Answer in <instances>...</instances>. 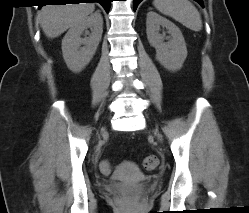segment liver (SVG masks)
Returning <instances> with one entry per match:
<instances>
[{
  "label": "liver",
  "instance_id": "1",
  "mask_svg": "<svg viewBox=\"0 0 249 213\" xmlns=\"http://www.w3.org/2000/svg\"><path fill=\"white\" fill-rule=\"evenodd\" d=\"M93 3L47 5L38 13V20L45 35L56 38L73 25L93 13Z\"/></svg>",
  "mask_w": 249,
  "mask_h": 213
}]
</instances>
